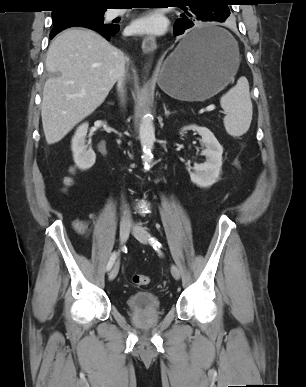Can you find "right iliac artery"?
<instances>
[{"mask_svg": "<svg viewBox=\"0 0 306 387\" xmlns=\"http://www.w3.org/2000/svg\"><path fill=\"white\" fill-rule=\"evenodd\" d=\"M116 257H117V252H113L106 266L107 271H109L112 268Z\"/></svg>", "mask_w": 306, "mask_h": 387, "instance_id": "obj_1", "label": "right iliac artery"}]
</instances>
